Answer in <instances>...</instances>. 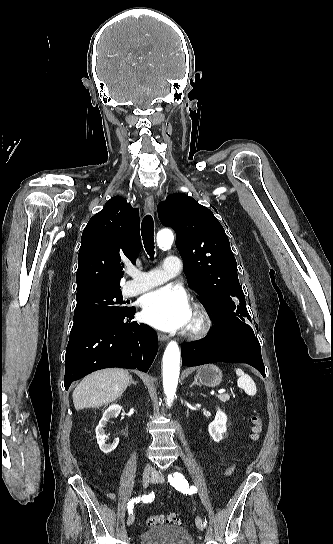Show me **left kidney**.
I'll return each instance as SVG.
<instances>
[{
	"label": "left kidney",
	"mask_w": 333,
	"mask_h": 544,
	"mask_svg": "<svg viewBox=\"0 0 333 544\" xmlns=\"http://www.w3.org/2000/svg\"><path fill=\"white\" fill-rule=\"evenodd\" d=\"M227 416L220 409L217 410L215 420L208 425V432L215 442L227 437Z\"/></svg>",
	"instance_id": "1"
}]
</instances>
